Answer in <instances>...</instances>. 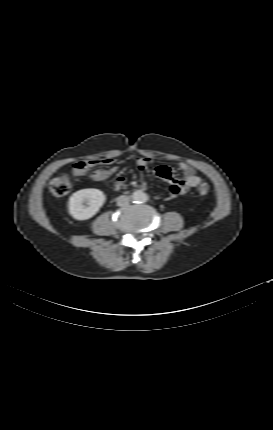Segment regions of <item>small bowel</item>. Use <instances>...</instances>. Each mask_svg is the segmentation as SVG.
Listing matches in <instances>:
<instances>
[{"label": "small bowel", "mask_w": 273, "mask_h": 430, "mask_svg": "<svg viewBox=\"0 0 273 430\" xmlns=\"http://www.w3.org/2000/svg\"><path fill=\"white\" fill-rule=\"evenodd\" d=\"M114 160L111 158L96 159L90 161H79L73 165V174L78 177L87 176L91 180L96 182H105L108 178L115 175L118 172L117 167H112L108 170L97 168L92 173L88 172L89 167L100 166L102 164H111ZM149 163V159L146 157H137L135 164L141 171L145 170ZM179 169L182 171L184 178L180 179L176 177V173L169 167L161 166L156 169V174L169 184V190L166 195V199H174L182 194H185L192 188L197 187L201 179L196 174L195 169L185 162L178 164ZM115 189H121L125 186V179L118 176L115 180ZM142 189H146V184L141 182L138 185Z\"/></svg>", "instance_id": "small-bowel-1"}]
</instances>
